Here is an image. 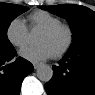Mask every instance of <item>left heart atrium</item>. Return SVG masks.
Returning a JSON list of instances; mask_svg holds the SVG:
<instances>
[{
    "instance_id": "obj_1",
    "label": "left heart atrium",
    "mask_w": 95,
    "mask_h": 95,
    "mask_svg": "<svg viewBox=\"0 0 95 95\" xmlns=\"http://www.w3.org/2000/svg\"><path fill=\"white\" fill-rule=\"evenodd\" d=\"M20 55L27 60L36 62L50 58L53 53L46 44H38L22 48Z\"/></svg>"
}]
</instances>
